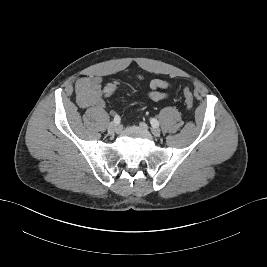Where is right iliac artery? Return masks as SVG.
<instances>
[{"label":"right iliac artery","instance_id":"obj_1","mask_svg":"<svg viewBox=\"0 0 267 267\" xmlns=\"http://www.w3.org/2000/svg\"><path fill=\"white\" fill-rule=\"evenodd\" d=\"M120 116L119 115H115L114 116V122L116 123V124H118V123H120Z\"/></svg>","mask_w":267,"mask_h":267}]
</instances>
